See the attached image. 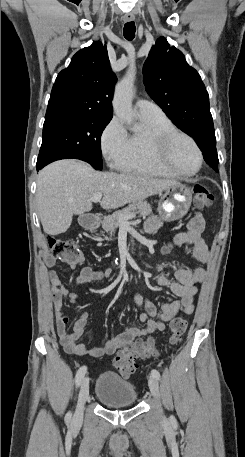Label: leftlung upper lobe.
Instances as JSON below:
<instances>
[{
	"label": "left lung upper lobe",
	"mask_w": 245,
	"mask_h": 457,
	"mask_svg": "<svg viewBox=\"0 0 245 457\" xmlns=\"http://www.w3.org/2000/svg\"><path fill=\"white\" fill-rule=\"evenodd\" d=\"M150 97L195 141L214 130L209 96L197 71L181 51L160 37L143 66Z\"/></svg>",
	"instance_id": "5c2ea615"
}]
</instances>
